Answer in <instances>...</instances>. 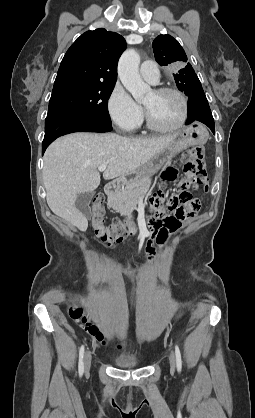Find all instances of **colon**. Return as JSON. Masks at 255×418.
I'll list each match as a JSON object with an SVG mask.
<instances>
[{"instance_id": "5ec220e1", "label": "colon", "mask_w": 255, "mask_h": 418, "mask_svg": "<svg viewBox=\"0 0 255 418\" xmlns=\"http://www.w3.org/2000/svg\"><path fill=\"white\" fill-rule=\"evenodd\" d=\"M183 171L185 179L179 184V190L177 195L172 196L169 201V207L174 211L173 215L163 217L162 221H158L154 218L149 220V224L154 228V235L159 237L163 234L165 227H170L172 230L177 228L179 222H185L191 220V217L195 216V213L199 209V201L193 198L189 188L203 187L205 190L208 188V175L204 162V148L196 147L192 151L184 154L183 156ZM164 180V176L162 175ZM163 195L161 192H157L152 197V207L157 210L158 216H163L164 213L160 209ZM104 206L103 198L96 196L91 210V223L94 232L98 239L106 246H113L123 240L124 227L119 221H114L109 226L104 223ZM164 235V234H163ZM160 248V246L158 247ZM69 313L71 317L75 319L81 318L87 329L94 327V324L83 315L82 308L79 304L73 303L69 307Z\"/></svg>"}]
</instances>
